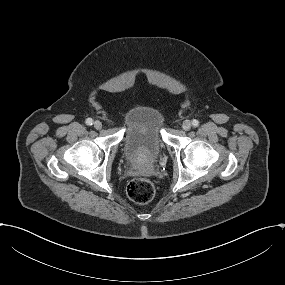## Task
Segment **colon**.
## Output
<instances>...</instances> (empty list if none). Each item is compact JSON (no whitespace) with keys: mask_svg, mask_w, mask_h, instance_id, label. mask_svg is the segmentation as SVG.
Listing matches in <instances>:
<instances>
[{"mask_svg":"<svg viewBox=\"0 0 285 285\" xmlns=\"http://www.w3.org/2000/svg\"><path fill=\"white\" fill-rule=\"evenodd\" d=\"M127 195L130 200L137 204H146L150 202L155 194L153 184L143 178L132 180L127 186Z\"/></svg>","mask_w":285,"mask_h":285,"instance_id":"obj_1","label":"colon"}]
</instances>
